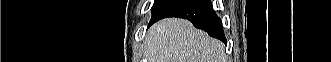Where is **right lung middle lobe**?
<instances>
[{
  "label": "right lung middle lobe",
  "instance_id": "obj_1",
  "mask_svg": "<svg viewBox=\"0 0 331 62\" xmlns=\"http://www.w3.org/2000/svg\"><path fill=\"white\" fill-rule=\"evenodd\" d=\"M177 1L178 0H155L152 7L153 15L151 20L159 16L162 12H164L168 7H170Z\"/></svg>",
  "mask_w": 331,
  "mask_h": 62
}]
</instances>
